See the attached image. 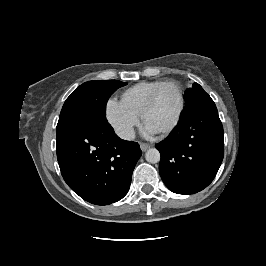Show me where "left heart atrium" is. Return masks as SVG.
<instances>
[{"mask_svg": "<svg viewBox=\"0 0 266 266\" xmlns=\"http://www.w3.org/2000/svg\"><path fill=\"white\" fill-rule=\"evenodd\" d=\"M145 132L148 134H154L157 132V130L153 128L151 125H149L148 123H145Z\"/></svg>", "mask_w": 266, "mask_h": 266, "instance_id": "39dd6f15", "label": "left heart atrium"}]
</instances>
